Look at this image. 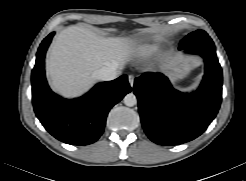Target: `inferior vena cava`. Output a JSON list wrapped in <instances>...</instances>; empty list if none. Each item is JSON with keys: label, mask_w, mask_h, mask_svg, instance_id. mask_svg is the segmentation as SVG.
<instances>
[{"label": "inferior vena cava", "mask_w": 246, "mask_h": 181, "mask_svg": "<svg viewBox=\"0 0 246 181\" xmlns=\"http://www.w3.org/2000/svg\"><path fill=\"white\" fill-rule=\"evenodd\" d=\"M117 76L118 71L116 65L103 66L102 68L94 72V77L103 81L113 80Z\"/></svg>", "instance_id": "1"}]
</instances>
